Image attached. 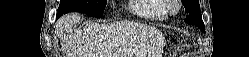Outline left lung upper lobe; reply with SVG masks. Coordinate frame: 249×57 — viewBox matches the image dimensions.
Here are the masks:
<instances>
[{
    "label": "left lung upper lobe",
    "instance_id": "left-lung-upper-lobe-1",
    "mask_svg": "<svg viewBox=\"0 0 249 57\" xmlns=\"http://www.w3.org/2000/svg\"><path fill=\"white\" fill-rule=\"evenodd\" d=\"M182 3L185 7V11L188 13L185 22L188 24H194L199 27L202 31H204L205 27L202 21L198 0H182Z\"/></svg>",
    "mask_w": 249,
    "mask_h": 57
}]
</instances>
